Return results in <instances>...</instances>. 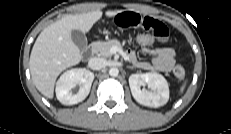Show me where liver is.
I'll return each instance as SVG.
<instances>
[{
  "instance_id": "obj_1",
  "label": "liver",
  "mask_w": 231,
  "mask_h": 134,
  "mask_svg": "<svg viewBox=\"0 0 231 134\" xmlns=\"http://www.w3.org/2000/svg\"><path fill=\"white\" fill-rule=\"evenodd\" d=\"M118 13L119 10L106 11L105 14L113 17ZM102 14L101 10H96L66 15L39 34L31 51L29 67L34 85L45 97L53 98L58 75L82 59L79 48L72 41V30L87 33Z\"/></svg>"
}]
</instances>
